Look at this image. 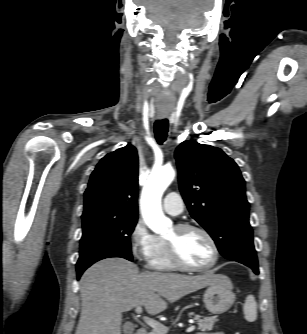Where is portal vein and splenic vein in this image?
Returning a JSON list of instances; mask_svg holds the SVG:
<instances>
[{"instance_id": "18ae733b", "label": "portal vein and splenic vein", "mask_w": 307, "mask_h": 334, "mask_svg": "<svg viewBox=\"0 0 307 334\" xmlns=\"http://www.w3.org/2000/svg\"><path fill=\"white\" fill-rule=\"evenodd\" d=\"M135 312L137 314H142L143 310L141 306H137L135 309ZM143 320L146 322L147 325H149L150 327L153 328V330L155 331H159V332H163L166 333L168 331V327H166L165 325L155 321L154 319L147 317V316H143ZM195 330V326L192 325L190 327L187 328L186 332H192Z\"/></svg>"}]
</instances>
